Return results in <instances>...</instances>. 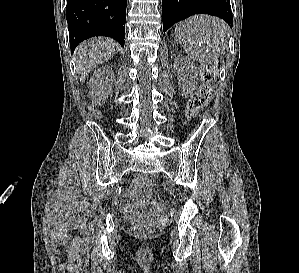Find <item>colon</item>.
I'll use <instances>...</instances> for the list:
<instances>
[{"label":"colon","instance_id":"obj_1","mask_svg":"<svg viewBox=\"0 0 299 273\" xmlns=\"http://www.w3.org/2000/svg\"><path fill=\"white\" fill-rule=\"evenodd\" d=\"M215 67L208 63L201 68V79L202 84L198 91L191 97L187 106V116L189 118L196 117L199 112L212 100L214 96V88L212 83L215 80ZM142 183L149 188V181L146 179L142 180ZM174 217V211L167 213L163 221H169ZM132 231L139 236H147L152 233L153 229L149 224L146 223H135L132 225Z\"/></svg>","mask_w":299,"mask_h":273}]
</instances>
